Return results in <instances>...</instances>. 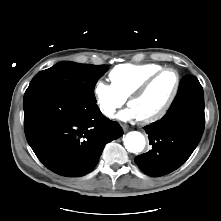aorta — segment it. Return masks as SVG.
<instances>
[{
	"instance_id": "aorta-1",
	"label": "aorta",
	"mask_w": 221,
	"mask_h": 221,
	"mask_svg": "<svg viewBox=\"0 0 221 221\" xmlns=\"http://www.w3.org/2000/svg\"><path fill=\"white\" fill-rule=\"evenodd\" d=\"M125 148L132 153L141 152L145 147V137L138 131H132L123 138Z\"/></svg>"
}]
</instances>
